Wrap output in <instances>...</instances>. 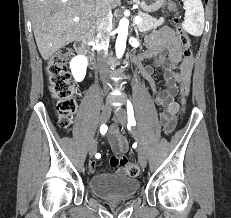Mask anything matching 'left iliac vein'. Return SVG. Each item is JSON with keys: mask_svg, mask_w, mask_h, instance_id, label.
Returning a JSON list of instances; mask_svg holds the SVG:
<instances>
[{"mask_svg": "<svg viewBox=\"0 0 231 218\" xmlns=\"http://www.w3.org/2000/svg\"><path fill=\"white\" fill-rule=\"evenodd\" d=\"M115 116L118 119V121L120 122V124L122 126H126L127 124V113L126 110L123 107H118L115 110ZM131 133L135 136L137 142H138V147H137V152H138V160L139 163L142 167H146L147 165V154H146V150L145 147L141 141L139 132L136 130L135 127H133L131 129Z\"/></svg>", "mask_w": 231, "mask_h": 218, "instance_id": "4c4485c4", "label": "left iliac vein"}]
</instances>
